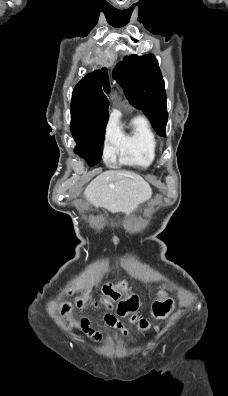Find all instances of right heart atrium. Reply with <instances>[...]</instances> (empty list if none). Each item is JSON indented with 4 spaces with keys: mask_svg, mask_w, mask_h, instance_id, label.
<instances>
[{
    "mask_svg": "<svg viewBox=\"0 0 228 396\" xmlns=\"http://www.w3.org/2000/svg\"><path fill=\"white\" fill-rule=\"evenodd\" d=\"M120 139V127L114 118H110L105 127L104 157L111 160L116 152Z\"/></svg>",
    "mask_w": 228,
    "mask_h": 396,
    "instance_id": "right-heart-atrium-1",
    "label": "right heart atrium"
}]
</instances>
